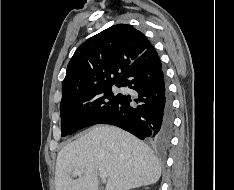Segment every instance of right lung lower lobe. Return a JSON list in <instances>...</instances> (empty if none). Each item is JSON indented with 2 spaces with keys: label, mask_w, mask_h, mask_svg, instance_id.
<instances>
[{
  "label": "right lung lower lobe",
  "mask_w": 234,
  "mask_h": 190,
  "mask_svg": "<svg viewBox=\"0 0 234 190\" xmlns=\"http://www.w3.org/2000/svg\"><path fill=\"white\" fill-rule=\"evenodd\" d=\"M117 85L134 90L136 98L120 94L115 108L98 124L115 125L139 139L167 146L172 134L173 113L161 62L153 46L125 69Z\"/></svg>",
  "instance_id": "1"
}]
</instances>
